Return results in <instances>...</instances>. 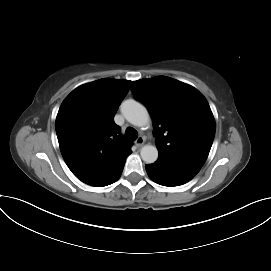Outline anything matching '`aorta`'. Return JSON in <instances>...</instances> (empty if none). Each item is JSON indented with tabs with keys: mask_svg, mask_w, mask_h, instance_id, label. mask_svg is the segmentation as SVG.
Segmentation results:
<instances>
[{
	"mask_svg": "<svg viewBox=\"0 0 271 271\" xmlns=\"http://www.w3.org/2000/svg\"><path fill=\"white\" fill-rule=\"evenodd\" d=\"M121 111L126 120L134 126L142 127L149 123L147 109L135 100H126L121 105ZM141 158L144 162L151 164L158 158V150L153 145H145L141 148Z\"/></svg>",
	"mask_w": 271,
	"mask_h": 271,
	"instance_id": "1",
	"label": "aorta"
}]
</instances>
